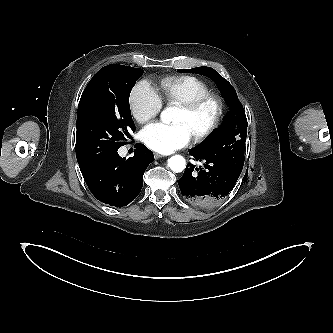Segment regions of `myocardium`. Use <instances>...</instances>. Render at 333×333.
<instances>
[{"mask_svg": "<svg viewBox=\"0 0 333 333\" xmlns=\"http://www.w3.org/2000/svg\"><path fill=\"white\" fill-rule=\"evenodd\" d=\"M208 103H214L216 105L217 113L212 123L204 131L192 136L193 140L197 143L205 141L219 129L226 113L225 102L220 95L215 93H208L179 106V109L184 111L186 114L193 115Z\"/></svg>", "mask_w": 333, "mask_h": 333, "instance_id": "1", "label": "myocardium"}]
</instances>
